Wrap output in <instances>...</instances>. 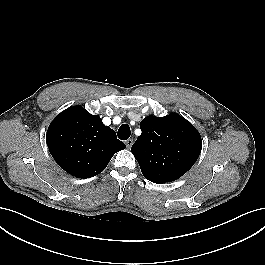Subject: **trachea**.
<instances>
[{
  "label": "trachea",
  "instance_id": "3493384b",
  "mask_svg": "<svg viewBox=\"0 0 265 265\" xmlns=\"http://www.w3.org/2000/svg\"><path fill=\"white\" fill-rule=\"evenodd\" d=\"M131 130L127 124H122L118 130V138L121 140H127L130 137Z\"/></svg>",
  "mask_w": 265,
  "mask_h": 265
}]
</instances>
